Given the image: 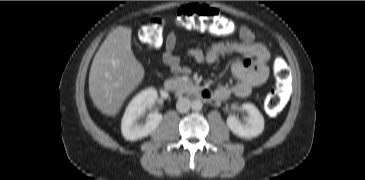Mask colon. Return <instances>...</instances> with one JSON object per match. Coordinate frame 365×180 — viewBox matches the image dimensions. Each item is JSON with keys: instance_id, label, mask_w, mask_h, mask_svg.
Listing matches in <instances>:
<instances>
[{"instance_id": "colon-1", "label": "colon", "mask_w": 365, "mask_h": 180, "mask_svg": "<svg viewBox=\"0 0 365 180\" xmlns=\"http://www.w3.org/2000/svg\"><path fill=\"white\" fill-rule=\"evenodd\" d=\"M173 23L178 29H203L219 38L229 36L231 32L230 22L217 10L207 5L192 4L181 7ZM167 25L168 21L163 17L150 19L139 32L140 40L150 47H160ZM274 72L276 85L267 97V106L271 113L278 114L284 108L283 85L288 77V70L283 59L275 61Z\"/></svg>"}]
</instances>
